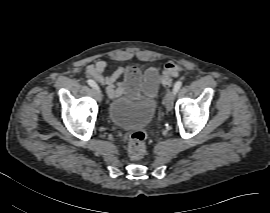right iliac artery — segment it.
<instances>
[{"mask_svg": "<svg viewBox=\"0 0 270 213\" xmlns=\"http://www.w3.org/2000/svg\"><path fill=\"white\" fill-rule=\"evenodd\" d=\"M87 83H88L91 87H93V88L99 90V87H98V85L96 84L95 81L89 79V80L87 81Z\"/></svg>", "mask_w": 270, "mask_h": 213, "instance_id": "82829eb1", "label": "right iliac artery"}]
</instances>
